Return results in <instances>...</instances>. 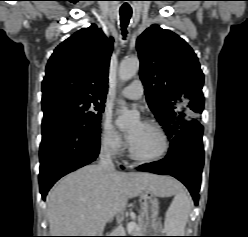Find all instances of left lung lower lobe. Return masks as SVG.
Here are the masks:
<instances>
[{"label":"left lung lower lobe","mask_w":248,"mask_h":237,"mask_svg":"<svg viewBox=\"0 0 248 237\" xmlns=\"http://www.w3.org/2000/svg\"><path fill=\"white\" fill-rule=\"evenodd\" d=\"M202 132L200 123L181 128L172 138L165 159L141 165L138 170L177 178L188 188L197 205L204 164Z\"/></svg>","instance_id":"0a47b994"}]
</instances>
